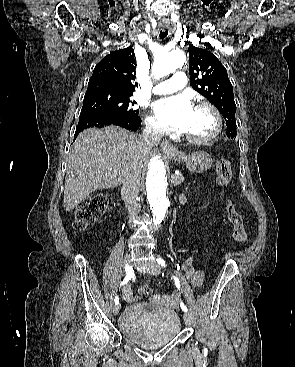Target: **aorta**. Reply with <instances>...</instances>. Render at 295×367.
<instances>
[{
	"label": "aorta",
	"instance_id": "aorta-1",
	"mask_svg": "<svg viewBox=\"0 0 295 367\" xmlns=\"http://www.w3.org/2000/svg\"><path fill=\"white\" fill-rule=\"evenodd\" d=\"M186 57L181 50H173L161 54L155 59L153 73L163 77L185 63ZM146 194L153 214L154 223L160 224L168 210V179L166 163L161 156H154L148 165L146 175Z\"/></svg>",
	"mask_w": 295,
	"mask_h": 367
}]
</instances>
